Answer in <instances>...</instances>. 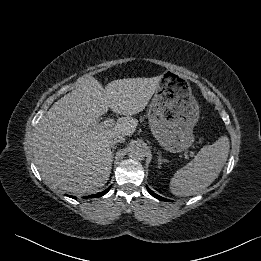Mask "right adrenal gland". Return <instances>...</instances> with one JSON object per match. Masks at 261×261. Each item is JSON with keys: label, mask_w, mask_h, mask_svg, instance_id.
Instances as JSON below:
<instances>
[{"label": "right adrenal gland", "mask_w": 261, "mask_h": 261, "mask_svg": "<svg viewBox=\"0 0 261 261\" xmlns=\"http://www.w3.org/2000/svg\"><path fill=\"white\" fill-rule=\"evenodd\" d=\"M115 149H116V146H112V154L114 153Z\"/></svg>", "instance_id": "right-adrenal-gland-1"}]
</instances>
